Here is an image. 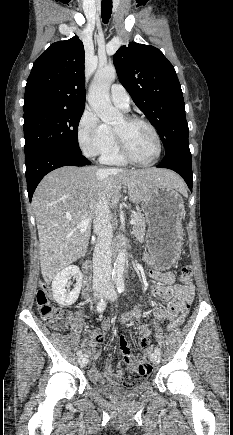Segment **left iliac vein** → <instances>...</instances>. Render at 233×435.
<instances>
[{"label":"left iliac vein","instance_id":"left-iliac-vein-1","mask_svg":"<svg viewBox=\"0 0 233 435\" xmlns=\"http://www.w3.org/2000/svg\"><path fill=\"white\" fill-rule=\"evenodd\" d=\"M116 291L113 285H109L108 287V292H107V299L108 300H114L116 299ZM150 360L152 361L153 364H158L160 362V356L157 353H152L150 356Z\"/></svg>","mask_w":233,"mask_h":435}]
</instances>
